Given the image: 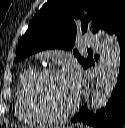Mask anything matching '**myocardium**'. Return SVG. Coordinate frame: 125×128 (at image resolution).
<instances>
[{
    "label": "myocardium",
    "mask_w": 125,
    "mask_h": 128,
    "mask_svg": "<svg viewBox=\"0 0 125 128\" xmlns=\"http://www.w3.org/2000/svg\"><path fill=\"white\" fill-rule=\"evenodd\" d=\"M55 75H64V72L59 68L54 67L40 69L31 77L27 85V95L33 109L47 122H56L68 118L75 113L80 103V97L78 94H76L73 104L64 111L55 113L45 107L41 98L39 97V88L43 81Z\"/></svg>",
    "instance_id": "myocardium-1"
}]
</instances>
